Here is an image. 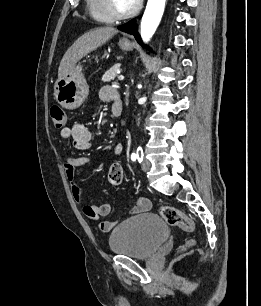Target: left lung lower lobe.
I'll list each match as a JSON object with an SVG mask.
<instances>
[{"label": "left lung lower lobe", "mask_w": 261, "mask_h": 306, "mask_svg": "<svg viewBox=\"0 0 261 306\" xmlns=\"http://www.w3.org/2000/svg\"><path fill=\"white\" fill-rule=\"evenodd\" d=\"M119 30L121 31H124L126 33H129V34H133L136 38V40L141 44V38H140V35L138 34L137 32V25H136V19H133L131 21H129L128 23L124 24V25H121L118 27ZM144 46V45H143ZM146 47V46H145ZM147 48V47H146Z\"/></svg>", "instance_id": "0a47b994"}]
</instances>
